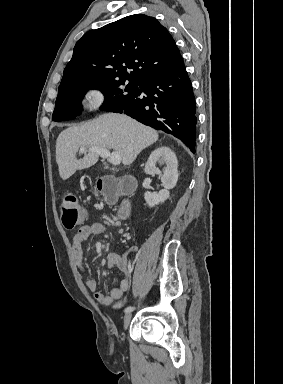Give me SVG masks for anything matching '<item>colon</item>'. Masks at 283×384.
<instances>
[{"mask_svg":"<svg viewBox=\"0 0 283 384\" xmlns=\"http://www.w3.org/2000/svg\"><path fill=\"white\" fill-rule=\"evenodd\" d=\"M125 183H120L113 178L99 179L96 183V191L102 195L107 201L113 202L126 189ZM61 219L66 229H73L77 225L83 223L86 219L85 211L80 207L77 199L73 195H66L61 201ZM124 304L120 301L116 307Z\"/></svg>","mask_w":283,"mask_h":384,"instance_id":"colon-1","label":"colon"}]
</instances>
